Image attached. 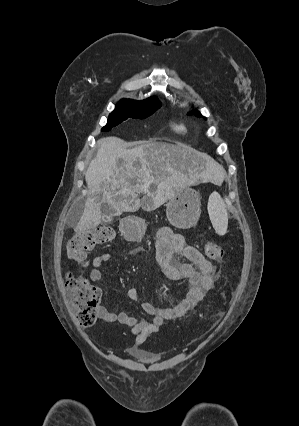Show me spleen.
Listing matches in <instances>:
<instances>
[{
  "instance_id": "3e777b00",
  "label": "spleen",
  "mask_w": 299,
  "mask_h": 426,
  "mask_svg": "<svg viewBox=\"0 0 299 426\" xmlns=\"http://www.w3.org/2000/svg\"><path fill=\"white\" fill-rule=\"evenodd\" d=\"M207 209L216 233L225 235L228 228V214L225 203L217 192L210 195Z\"/></svg>"
}]
</instances>
